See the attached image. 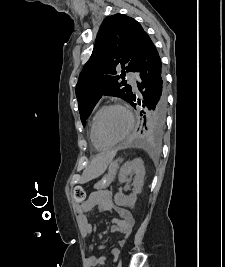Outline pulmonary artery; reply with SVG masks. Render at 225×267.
Listing matches in <instances>:
<instances>
[{"instance_id":"1","label":"pulmonary artery","mask_w":225,"mask_h":267,"mask_svg":"<svg viewBox=\"0 0 225 267\" xmlns=\"http://www.w3.org/2000/svg\"><path fill=\"white\" fill-rule=\"evenodd\" d=\"M136 76L137 74L132 71H129L127 73V78L129 79V82L131 83L134 90H137Z\"/></svg>"}]
</instances>
